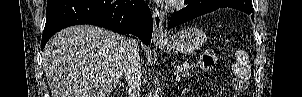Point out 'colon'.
I'll use <instances>...</instances> for the list:
<instances>
[{
	"mask_svg": "<svg viewBox=\"0 0 302 97\" xmlns=\"http://www.w3.org/2000/svg\"><path fill=\"white\" fill-rule=\"evenodd\" d=\"M217 57L215 52L206 51L203 53L200 59V69L204 72H209L214 69L216 65ZM232 88L235 92H243L246 89V82L239 78H234L232 81Z\"/></svg>",
	"mask_w": 302,
	"mask_h": 97,
	"instance_id": "obj_1",
	"label": "colon"
}]
</instances>
